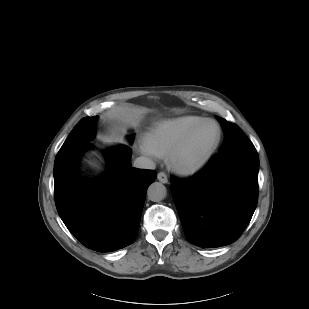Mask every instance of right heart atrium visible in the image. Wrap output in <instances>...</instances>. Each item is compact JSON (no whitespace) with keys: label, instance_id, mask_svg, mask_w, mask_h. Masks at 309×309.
I'll use <instances>...</instances> for the list:
<instances>
[{"label":"right heart atrium","instance_id":"right-heart-atrium-1","mask_svg":"<svg viewBox=\"0 0 309 309\" xmlns=\"http://www.w3.org/2000/svg\"><path fill=\"white\" fill-rule=\"evenodd\" d=\"M140 151L145 156H148V157L154 156L153 152L150 150V148L146 144L141 145Z\"/></svg>","mask_w":309,"mask_h":309}]
</instances>
